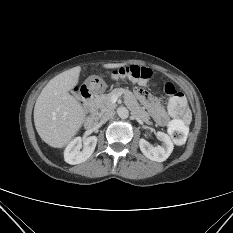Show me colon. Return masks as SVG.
I'll use <instances>...</instances> for the list:
<instances>
[{"mask_svg":"<svg viewBox=\"0 0 233 233\" xmlns=\"http://www.w3.org/2000/svg\"><path fill=\"white\" fill-rule=\"evenodd\" d=\"M118 79L146 83L152 77V71L136 65L120 67L113 72ZM165 94L169 96L168 109L172 116L168 131L174 142L183 144L187 139V123L190 118L189 106L186 98L176 87L166 82L163 86Z\"/></svg>","mask_w":233,"mask_h":233,"instance_id":"1","label":"colon"}]
</instances>
